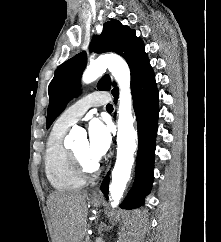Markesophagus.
<instances>
[{"instance_id":"1","label":"esophagus","mask_w":221,"mask_h":242,"mask_svg":"<svg viewBox=\"0 0 221 242\" xmlns=\"http://www.w3.org/2000/svg\"><path fill=\"white\" fill-rule=\"evenodd\" d=\"M91 196L96 198V197H101V192L98 187H95L91 193Z\"/></svg>"}]
</instances>
